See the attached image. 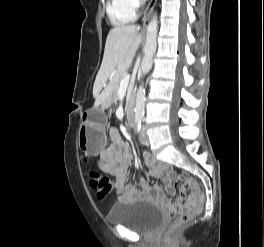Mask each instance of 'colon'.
I'll list each match as a JSON object with an SVG mask.
<instances>
[{
	"mask_svg": "<svg viewBox=\"0 0 264 247\" xmlns=\"http://www.w3.org/2000/svg\"><path fill=\"white\" fill-rule=\"evenodd\" d=\"M88 178L94 190L95 197L98 200L106 199L111 191V184L108 179L93 170L88 172ZM174 183L176 188L181 192L191 190L192 194L189 196H182L181 199L172 206L170 215L173 217V222L169 226V232H173L182 225L188 223L193 214L200 211L205 200L204 194L194 178L178 173L174 178Z\"/></svg>",
	"mask_w": 264,
	"mask_h": 247,
	"instance_id": "colon-1",
	"label": "colon"
}]
</instances>
